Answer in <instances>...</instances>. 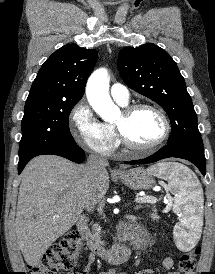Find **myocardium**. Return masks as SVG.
<instances>
[{
  "label": "myocardium",
  "instance_id": "1",
  "mask_svg": "<svg viewBox=\"0 0 215 274\" xmlns=\"http://www.w3.org/2000/svg\"><path fill=\"white\" fill-rule=\"evenodd\" d=\"M141 109H149L154 111L162 120L163 122V133L162 135L153 143L148 145H137L129 140V138L124 133L122 127L119 124H114V130L120 140V142L129 150L137 151V152H150L161 146L170 136L171 134V123L164 112L163 109L158 107L157 105L151 103H136L127 105L124 107L122 114L125 118L130 117L136 111Z\"/></svg>",
  "mask_w": 215,
  "mask_h": 274
}]
</instances>
